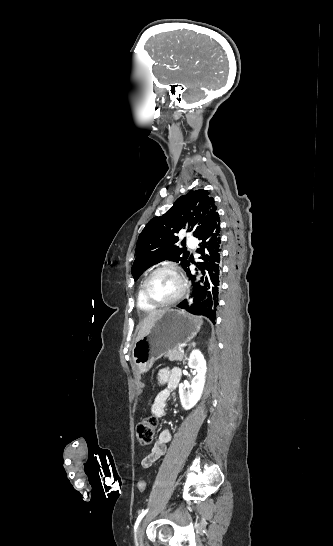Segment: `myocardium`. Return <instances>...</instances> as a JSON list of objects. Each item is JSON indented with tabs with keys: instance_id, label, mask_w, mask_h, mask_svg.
Instances as JSON below:
<instances>
[{
	"instance_id": "obj_1",
	"label": "myocardium",
	"mask_w": 333,
	"mask_h": 546,
	"mask_svg": "<svg viewBox=\"0 0 333 546\" xmlns=\"http://www.w3.org/2000/svg\"><path fill=\"white\" fill-rule=\"evenodd\" d=\"M171 271L173 272L178 280H179V283H180V290L178 292V294L168 300V301H158L156 299H154L150 294H149V291H148V284L151 280V278L158 272L160 271ZM142 292H143V296L145 298V300L150 303L151 305L155 306V307H165V306H170V305H173L175 304L176 302H178L185 294L186 292V282L183 278V275L181 273V271L178 269V267H176L175 265H172V264H164V265H161V266H158L157 268H155L154 270H152L148 276L145 278L143 284H142Z\"/></svg>"
}]
</instances>
